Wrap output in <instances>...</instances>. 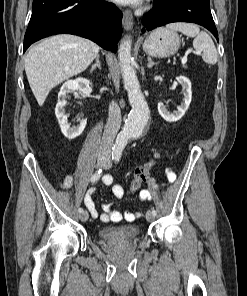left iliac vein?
<instances>
[{"instance_id":"4c4485c4","label":"left iliac vein","mask_w":247,"mask_h":296,"mask_svg":"<svg viewBox=\"0 0 247 296\" xmlns=\"http://www.w3.org/2000/svg\"><path fill=\"white\" fill-rule=\"evenodd\" d=\"M103 166H104L105 169L110 168V167H111V160L108 159V160L104 163ZM146 219H147V221L152 222V221L155 220V215H154L152 212L148 211V212L146 213Z\"/></svg>"}]
</instances>
